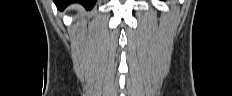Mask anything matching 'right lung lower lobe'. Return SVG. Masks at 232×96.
Segmentation results:
<instances>
[{"mask_svg": "<svg viewBox=\"0 0 232 96\" xmlns=\"http://www.w3.org/2000/svg\"><path fill=\"white\" fill-rule=\"evenodd\" d=\"M95 2L96 0H54V3L56 4L57 8L60 10H63L71 3H81L87 9H91L94 6Z\"/></svg>", "mask_w": 232, "mask_h": 96, "instance_id": "right-lung-lower-lobe-1", "label": "right lung lower lobe"}]
</instances>
